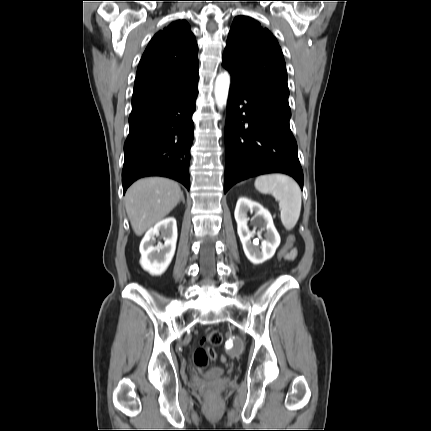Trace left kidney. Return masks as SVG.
I'll return each mask as SVG.
<instances>
[{"label": "left kidney", "mask_w": 431, "mask_h": 431, "mask_svg": "<svg viewBox=\"0 0 431 431\" xmlns=\"http://www.w3.org/2000/svg\"><path fill=\"white\" fill-rule=\"evenodd\" d=\"M249 211L255 212L254 222L261 227L258 235L266 230L265 240L261 242L260 246L251 241L254 233L250 232L247 226L249 220L247 213ZM234 216L237 222V232L248 260L253 264H262L272 258L280 244V236L274 226L270 212L261 204L241 197L237 201Z\"/></svg>", "instance_id": "left-kidney-1"}]
</instances>
